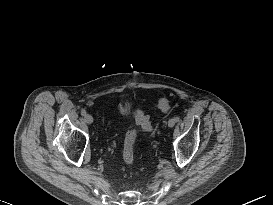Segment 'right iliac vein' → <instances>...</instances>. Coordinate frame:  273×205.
<instances>
[{"mask_svg":"<svg viewBox=\"0 0 273 205\" xmlns=\"http://www.w3.org/2000/svg\"><path fill=\"white\" fill-rule=\"evenodd\" d=\"M84 119H85V122L89 125L93 123V117L90 114H86Z\"/></svg>","mask_w":273,"mask_h":205,"instance_id":"obj_1","label":"right iliac vein"}]
</instances>
